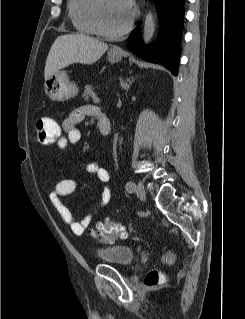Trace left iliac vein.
<instances>
[{"label": "left iliac vein", "mask_w": 245, "mask_h": 319, "mask_svg": "<svg viewBox=\"0 0 245 319\" xmlns=\"http://www.w3.org/2000/svg\"><path fill=\"white\" fill-rule=\"evenodd\" d=\"M135 193L140 200H145L146 194L142 183H137L135 185Z\"/></svg>", "instance_id": "left-iliac-vein-1"}]
</instances>
